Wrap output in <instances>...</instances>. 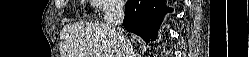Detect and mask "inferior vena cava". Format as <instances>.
Segmentation results:
<instances>
[{
  "instance_id": "inferior-vena-cava-1",
  "label": "inferior vena cava",
  "mask_w": 249,
  "mask_h": 57,
  "mask_svg": "<svg viewBox=\"0 0 249 57\" xmlns=\"http://www.w3.org/2000/svg\"><path fill=\"white\" fill-rule=\"evenodd\" d=\"M124 1L112 2L104 14V26L118 39L122 57H135L133 47L128 38L124 36L119 26L124 19Z\"/></svg>"
}]
</instances>
